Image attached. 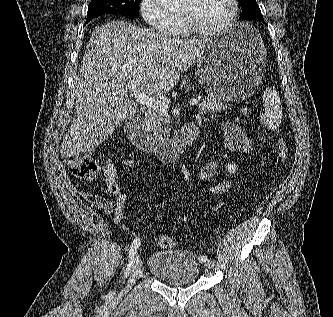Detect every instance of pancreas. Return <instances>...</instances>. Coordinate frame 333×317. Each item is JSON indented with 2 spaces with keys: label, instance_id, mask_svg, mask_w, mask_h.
I'll list each match as a JSON object with an SVG mask.
<instances>
[{
  "label": "pancreas",
  "instance_id": "cf45deb5",
  "mask_svg": "<svg viewBox=\"0 0 333 317\" xmlns=\"http://www.w3.org/2000/svg\"><path fill=\"white\" fill-rule=\"evenodd\" d=\"M199 113L207 112H220L224 111L227 107L214 97L213 95H207L203 98L202 102L198 105ZM147 125L150 130L158 137L170 136L171 130V117L168 113H164L158 110H151L146 117Z\"/></svg>",
  "mask_w": 333,
  "mask_h": 317
}]
</instances>
